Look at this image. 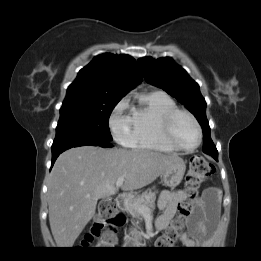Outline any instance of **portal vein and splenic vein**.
<instances>
[{
  "mask_svg": "<svg viewBox=\"0 0 261 261\" xmlns=\"http://www.w3.org/2000/svg\"><path fill=\"white\" fill-rule=\"evenodd\" d=\"M124 177H119L116 181V188H119L123 185Z\"/></svg>",
  "mask_w": 261,
  "mask_h": 261,
  "instance_id": "obj_1",
  "label": "portal vein and splenic vein"
}]
</instances>
